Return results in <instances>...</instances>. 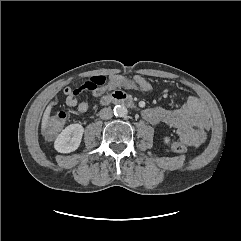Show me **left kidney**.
Wrapping results in <instances>:
<instances>
[{"instance_id":"1","label":"left kidney","mask_w":241,"mask_h":241,"mask_svg":"<svg viewBox=\"0 0 241 241\" xmlns=\"http://www.w3.org/2000/svg\"><path fill=\"white\" fill-rule=\"evenodd\" d=\"M164 143L169 144L170 143V138L169 137H164Z\"/></svg>"}]
</instances>
